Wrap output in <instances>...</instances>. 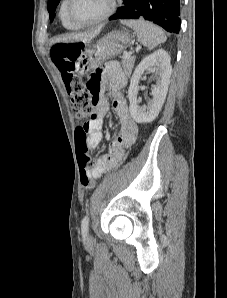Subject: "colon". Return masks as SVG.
I'll return each mask as SVG.
<instances>
[{"mask_svg": "<svg viewBox=\"0 0 227 298\" xmlns=\"http://www.w3.org/2000/svg\"><path fill=\"white\" fill-rule=\"evenodd\" d=\"M83 46L80 43L74 42H59L53 45L51 55L53 61L62 74L63 82L67 92L72 99L73 110L77 115L81 125L76 129L75 144L78 153V163L81 168V183L86 188H91L94 185V179L89 174V170L93 167L94 162L88 156V133L84 130V125H89L90 110H95L93 105L96 103L90 102L91 92H87V87L84 86L74 76L75 64L81 55Z\"/></svg>", "mask_w": 227, "mask_h": 298, "instance_id": "1", "label": "colon"}]
</instances>
